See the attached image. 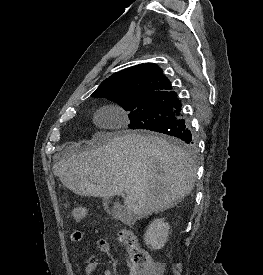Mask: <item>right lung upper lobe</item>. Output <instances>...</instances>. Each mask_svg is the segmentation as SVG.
I'll list each match as a JSON object with an SVG mask.
<instances>
[{
	"instance_id": "cb5924a9",
	"label": "right lung upper lobe",
	"mask_w": 263,
	"mask_h": 275,
	"mask_svg": "<svg viewBox=\"0 0 263 275\" xmlns=\"http://www.w3.org/2000/svg\"><path fill=\"white\" fill-rule=\"evenodd\" d=\"M171 89V82L163 75L161 68L145 63L114 73L93 94L119 90L136 96H177Z\"/></svg>"
}]
</instances>
